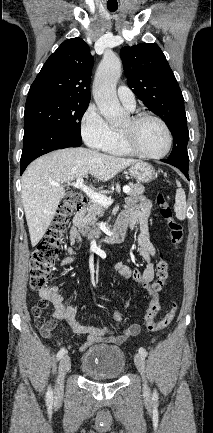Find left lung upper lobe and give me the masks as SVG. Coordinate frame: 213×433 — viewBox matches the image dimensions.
I'll return each instance as SVG.
<instances>
[{"mask_svg":"<svg viewBox=\"0 0 213 433\" xmlns=\"http://www.w3.org/2000/svg\"><path fill=\"white\" fill-rule=\"evenodd\" d=\"M128 86L160 116L174 136L168 159L189 164V133L184 98L162 50L156 44L142 43L120 50Z\"/></svg>","mask_w":213,"mask_h":433,"instance_id":"5c2ea615","label":"left lung upper lobe"}]
</instances>
